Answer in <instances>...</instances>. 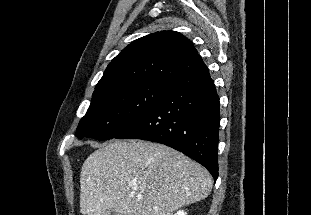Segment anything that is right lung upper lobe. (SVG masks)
Masks as SVG:
<instances>
[{
	"instance_id": "cb5924a9",
	"label": "right lung upper lobe",
	"mask_w": 311,
	"mask_h": 215,
	"mask_svg": "<svg viewBox=\"0 0 311 215\" xmlns=\"http://www.w3.org/2000/svg\"><path fill=\"white\" fill-rule=\"evenodd\" d=\"M203 66L201 56L188 38L175 31L156 32L125 47L109 63L94 93L125 84H170Z\"/></svg>"
}]
</instances>
